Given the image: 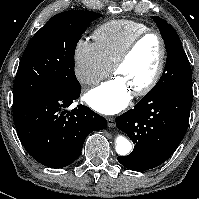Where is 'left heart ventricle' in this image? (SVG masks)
<instances>
[{
  "label": "left heart ventricle",
  "mask_w": 199,
  "mask_h": 199,
  "mask_svg": "<svg viewBox=\"0 0 199 199\" xmlns=\"http://www.w3.org/2000/svg\"><path fill=\"white\" fill-rule=\"evenodd\" d=\"M160 57V44L155 36L143 39L129 59L117 70L131 92L144 86L153 76Z\"/></svg>",
  "instance_id": "1"
}]
</instances>
